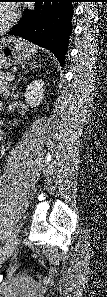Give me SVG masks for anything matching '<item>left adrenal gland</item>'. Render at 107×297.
<instances>
[{"label": "left adrenal gland", "instance_id": "1", "mask_svg": "<svg viewBox=\"0 0 107 297\" xmlns=\"http://www.w3.org/2000/svg\"><path fill=\"white\" fill-rule=\"evenodd\" d=\"M36 65H34L33 63L30 64V70H34L36 69ZM29 72V70L27 69L26 71H24L22 76H19L18 81L15 83V85L13 86V90L17 87V85L19 84L20 80L24 77V74H27Z\"/></svg>", "mask_w": 107, "mask_h": 297}]
</instances>
